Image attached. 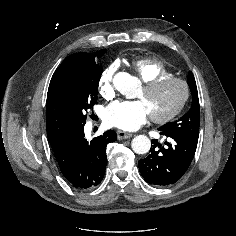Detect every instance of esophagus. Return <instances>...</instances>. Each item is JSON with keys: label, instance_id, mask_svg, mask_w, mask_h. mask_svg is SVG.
I'll use <instances>...</instances> for the list:
<instances>
[{"label": "esophagus", "instance_id": "obj_1", "mask_svg": "<svg viewBox=\"0 0 236 236\" xmlns=\"http://www.w3.org/2000/svg\"><path fill=\"white\" fill-rule=\"evenodd\" d=\"M132 136H133V134H131L129 132H125V131H121V130L117 131V137L119 140L128 139Z\"/></svg>", "mask_w": 236, "mask_h": 236}]
</instances>
